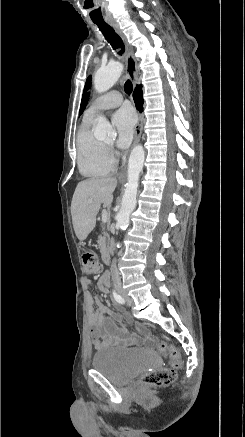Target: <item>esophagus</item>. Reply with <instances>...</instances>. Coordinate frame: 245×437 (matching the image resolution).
Segmentation results:
<instances>
[{"instance_id":"esophagus-1","label":"esophagus","mask_w":245,"mask_h":437,"mask_svg":"<svg viewBox=\"0 0 245 437\" xmlns=\"http://www.w3.org/2000/svg\"><path fill=\"white\" fill-rule=\"evenodd\" d=\"M109 24L114 28V30L120 36V38L122 39V41L125 45V49H126V52H125L126 73H127L128 77L135 83L138 68H137V60L134 56L133 48L128 43L127 38L124 35V33L122 32V30L120 29L119 25L115 22H110ZM142 129H143V115L141 113H139L138 120H137V123L135 126L134 145L140 140V137L142 134ZM123 174H124V169L120 172L119 177H122Z\"/></svg>"}]
</instances>
